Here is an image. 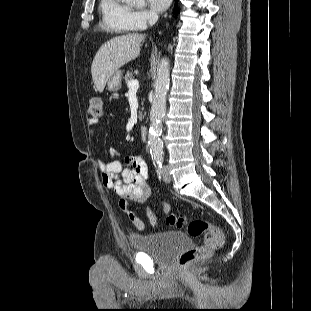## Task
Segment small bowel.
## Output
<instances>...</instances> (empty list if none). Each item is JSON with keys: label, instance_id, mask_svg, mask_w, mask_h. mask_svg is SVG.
I'll use <instances>...</instances> for the list:
<instances>
[{"label": "small bowel", "instance_id": "small-bowel-1", "mask_svg": "<svg viewBox=\"0 0 311 311\" xmlns=\"http://www.w3.org/2000/svg\"><path fill=\"white\" fill-rule=\"evenodd\" d=\"M89 125L94 126L98 121L89 120ZM110 161L98 159V168L101 172V181L105 187L114 191L119 197V207L125 212L136 229L144 230V222L130 208V202L142 204L151 194L148 184V167L144 157L140 154L125 156L112 149ZM118 157V159H114ZM165 210L169 206L162 203ZM148 217L153 225H157V218L152 208L148 209Z\"/></svg>", "mask_w": 311, "mask_h": 311}]
</instances>
